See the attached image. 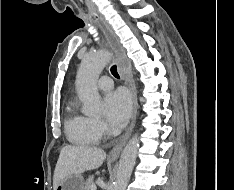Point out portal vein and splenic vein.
<instances>
[{
	"mask_svg": "<svg viewBox=\"0 0 234 190\" xmlns=\"http://www.w3.org/2000/svg\"><path fill=\"white\" fill-rule=\"evenodd\" d=\"M96 189H97L96 185H93V186L91 187V190H96Z\"/></svg>",
	"mask_w": 234,
	"mask_h": 190,
	"instance_id": "obj_1",
	"label": "portal vein and splenic vein"
}]
</instances>
